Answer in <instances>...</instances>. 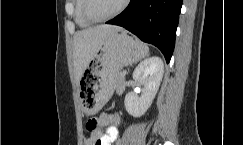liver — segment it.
Segmentation results:
<instances>
[{
    "instance_id": "liver-1",
    "label": "liver",
    "mask_w": 243,
    "mask_h": 145,
    "mask_svg": "<svg viewBox=\"0 0 243 145\" xmlns=\"http://www.w3.org/2000/svg\"><path fill=\"white\" fill-rule=\"evenodd\" d=\"M122 27L115 25H98L77 31L74 35V69L78 84L89 63L97 56L107 38Z\"/></svg>"
}]
</instances>
